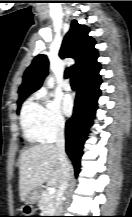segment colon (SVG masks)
<instances>
[{"label":"colon","mask_w":132,"mask_h":217,"mask_svg":"<svg viewBox=\"0 0 132 217\" xmlns=\"http://www.w3.org/2000/svg\"><path fill=\"white\" fill-rule=\"evenodd\" d=\"M18 217H36V216H33L32 211L30 210V208H26L23 211V213Z\"/></svg>","instance_id":"5ec220e1"}]
</instances>
